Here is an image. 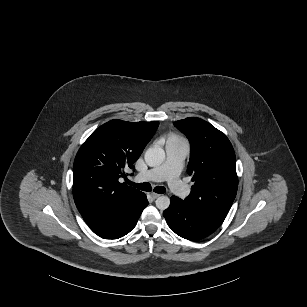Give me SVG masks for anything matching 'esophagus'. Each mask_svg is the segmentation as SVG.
Listing matches in <instances>:
<instances>
[{
    "label": "esophagus",
    "mask_w": 307,
    "mask_h": 307,
    "mask_svg": "<svg viewBox=\"0 0 307 307\" xmlns=\"http://www.w3.org/2000/svg\"><path fill=\"white\" fill-rule=\"evenodd\" d=\"M150 195L153 199H157L160 196V194H157V193H151Z\"/></svg>",
    "instance_id": "esophagus-1"
}]
</instances>
